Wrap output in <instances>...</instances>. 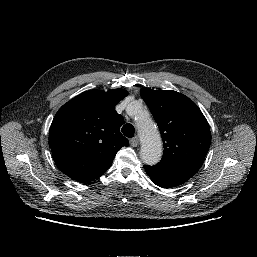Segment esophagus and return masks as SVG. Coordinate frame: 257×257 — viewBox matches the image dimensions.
I'll return each instance as SVG.
<instances>
[{"label": "esophagus", "mask_w": 257, "mask_h": 257, "mask_svg": "<svg viewBox=\"0 0 257 257\" xmlns=\"http://www.w3.org/2000/svg\"><path fill=\"white\" fill-rule=\"evenodd\" d=\"M138 143H139V141H138L137 136H135V137H133V138L130 139V145H131L132 147H136V146L138 145Z\"/></svg>", "instance_id": "34e87169"}]
</instances>
